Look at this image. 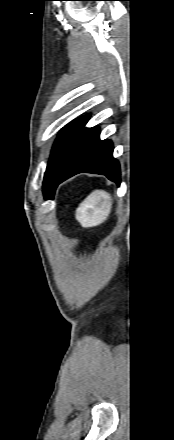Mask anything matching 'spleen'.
Wrapping results in <instances>:
<instances>
[{
  "label": "spleen",
  "instance_id": "1",
  "mask_svg": "<svg viewBox=\"0 0 174 440\" xmlns=\"http://www.w3.org/2000/svg\"><path fill=\"white\" fill-rule=\"evenodd\" d=\"M111 207L110 194L104 190H94L78 207L76 218L83 227L97 226L107 219Z\"/></svg>",
  "mask_w": 174,
  "mask_h": 440
}]
</instances>
